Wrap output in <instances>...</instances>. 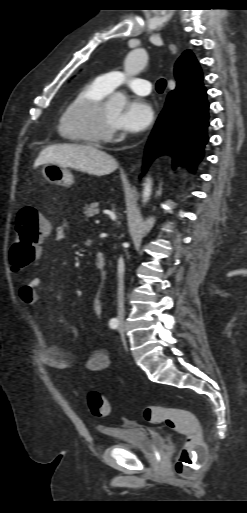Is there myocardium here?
I'll return each instance as SVG.
<instances>
[{
	"label": "myocardium",
	"instance_id": "1",
	"mask_svg": "<svg viewBox=\"0 0 247 513\" xmlns=\"http://www.w3.org/2000/svg\"><path fill=\"white\" fill-rule=\"evenodd\" d=\"M107 100H92L72 110L65 120V130L72 136L91 143H110L116 136L115 127L104 120Z\"/></svg>",
	"mask_w": 247,
	"mask_h": 513
}]
</instances>
